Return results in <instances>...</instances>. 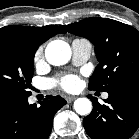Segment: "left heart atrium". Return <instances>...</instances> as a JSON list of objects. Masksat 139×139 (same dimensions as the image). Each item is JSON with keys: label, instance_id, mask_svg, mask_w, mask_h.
<instances>
[{"label": "left heart atrium", "instance_id": "39dd6f15", "mask_svg": "<svg viewBox=\"0 0 139 139\" xmlns=\"http://www.w3.org/2000/svg\"><path fill=\"white\" fill-rule=\"evenodd\" d=\"M54 86H58L66 91H75L80 86V79L76 75H65L53 82Z\"/></svg>", "mask_w": 139, "mask_h": 139}]
</instances>
